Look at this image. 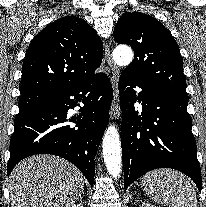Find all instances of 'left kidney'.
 <instances>
[{
  "mask_svg": "<svg viewBox=\"0 0 206 207\" xmlns=\"http://www.w3.org/2000/svg\"><path fill=\"white\" fill-rule=\"evenodd\" d=\"M141 207H156V206L153 204H150L149 202H143Z\"/></svg>",
  "mask_w": 206,
  "mask_h": 207,
  "instance_id": "1",
  "label": "left kidney"
}]
</instances>
